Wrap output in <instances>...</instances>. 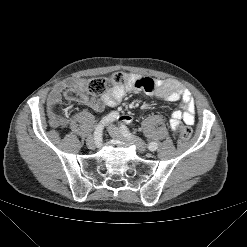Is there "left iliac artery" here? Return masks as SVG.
Instances as JSON below:
<instances>
[{"label": "left iliac artery", "mask_w": 247, "mask_h": 247, "mask_svg": "<svg viewBox=\"0 0 247 247\" xmlns=\"http://www.w3.org/2000/svg\"><path fill=\"white\" fill-rule=\"evenodd\" d=\"M120 128H121V131L123 132L124 135H126V136L131 135L125 125H122ZM148 148L150 151H155L158 148V144L156 142H151L149 144Z\"/></svg>", "instance_id": "44dca946"}]
</instances>
